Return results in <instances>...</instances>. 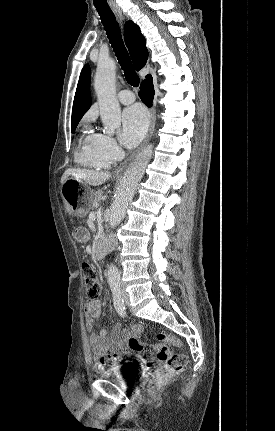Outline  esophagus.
<instances>
[{"label":"esophagus","mask_w":275,"mask_h":431,"mask_svg":"<svg viewBox=\"0 0 275 431\" xmlns=\"http://www.w3.org/2000/svg\"><path fill=\"white\" fill-rule=\"evenodd\" d=\"M114 13L116 14V16L118 17V19L122 22L124 20L122 11L120 10V8H113ZM155 123H156V111L154 109V107L150 108V124H149V129L147 132V135L143 141V143L126 159L124 160L119 167L114 171V174L116 176L118 175H122L124 173V171L126 170V168L128 167L129 163L134 159V157L139 153V151L149 142V140L151 139L153 132H154V128H155Z\"/></svg>","instance_id":"esophagus-1"}]
</instances>
